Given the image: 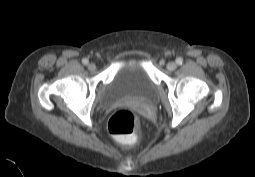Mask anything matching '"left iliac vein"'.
<instances>
[{"label":"left iliac vein","instance_id":"4c4485c4","mask_svg":"<svg viewBox=\"0 0 255 177\" xmlns=\"http://www.w3.org/2000/svg\"><path fill=\"white\" fill-rule=\"evenodd\" d=\"M176 67H177V65H176L175 62H169V63L167 64V69L170 70V71L175 70Z\"/></svg>","mask_w":255,"mask_h":177}]
</instances>
